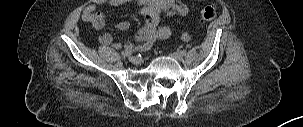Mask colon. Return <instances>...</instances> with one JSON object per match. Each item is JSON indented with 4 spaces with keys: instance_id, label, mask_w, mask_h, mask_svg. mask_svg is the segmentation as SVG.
<instances>
[{
    "instance_id": "colon-1",
    "label": "colon",
    "mask_w": 303,
    "mask_h": 127,
    "mask_svg": "<svg viewBox=\"0 0 303 127\" xmlns=\"http://www.w3.org/2000/svg\"><path fill=\"white\" fill-rule=\"evenodd\" d=\"M216 9L212 6H207L204 7L201 11H200V20L201 22H209L212 21L215 17H216ZM165 37L168 36L167 33L164 34ZM190 38V35L188 33H183L182 34V39L187 40Z\"/></svg>"
}]
</instances>
